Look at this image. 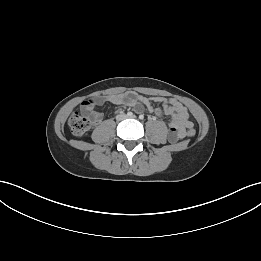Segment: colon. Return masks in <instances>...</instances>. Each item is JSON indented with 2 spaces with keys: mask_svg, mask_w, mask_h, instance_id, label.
Masks as SVG:
<instances>
[{
  "mask_svg": "<svg viewBox=\"0 0 261 261\" xmlns=\"http://www.w3.org/2000/svg\"><path fill=\"white\" fill-rule=\"evenodd\" d=\"M68 124L73 135L83 136L90 128L91 119L85 114L76 112L70 116ZM194 132L193 126L189 124L186 128L187 135L193 136Z\"/></svg>",
  "mask_w": 261,
  "mask_h": 261,
  "instance_id": "colon-1",
  "label": "colon"
}]
</instances>
